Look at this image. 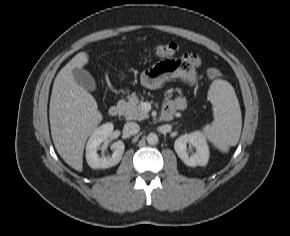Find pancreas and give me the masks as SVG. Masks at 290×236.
<instances>
[{"label":"pancreas","mask_w":290,"mask_h":236,"mask_svg":"<svg viewBox=\"0 0 290 236\" xmlns=\"http://www.w3.org/2000/svg\"><path fill=\"white\" fill-rule=\"evenodd\" d=\"M118 105L122 108L126 120H144L149 114L139 105V98L135 93L131 94L128 101L120 100Z\"/></svg>","instance_id":"1"}]
</instances>
